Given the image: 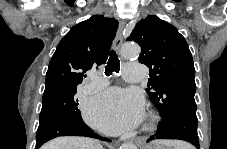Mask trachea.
Instances as JSON below:
<instances>
[{
  "label": "trachea",
  "instance_id": "trachea-1",
  "mask_svg": "<svg viewBox=\"0 0 227 149\" xmlns=\"http://www.w3.org/2000/svg\"><path fill=\"white\" fill-rule=\"evenodd\" d=\"M120 70V61L115 51H111L109 60L105 67L106 76L111 75L113 72L119 73Z\"/></svg>",
  "mask_w": 227,
  "mask_h": 149
}]
</instances>
